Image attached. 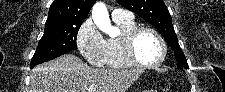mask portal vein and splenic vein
Here are the masks:
<instances>
[{
    "instance_id": "obj_1",
    "label": "portal vein and splenic vein",
    "mask_w": 225,
    "mask_h": 92,
    "mask_svg": "<svg viewBox=\"0 0 225 92\" xmlns=\"http://www.w3.org/2000/svg\"><path fill=\"white\" fill-rule=\"evenodd\" d=\"M96 90V85H90L87 89L88 92H94Z\"/></svg>"
}]
</instances>
